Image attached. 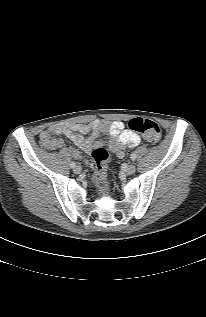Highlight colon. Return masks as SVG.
I'll return each mask as SVG.
<instances>
[{"label": "colon", "instance_id": "5ec220e1", "mask_svg": "<svg viewBox=\"0 0 206 317\" xmlns=\"http://www.w3.org/2000/svg\"><path fill=\"white\" fill-rule=\"evenodd\" d=\"M128 126L132 131L140 133L150 143H156L161 138L159 125L150 119L136 117L129 121ZM92 157L94 160V179L100 188H104L109 154L104 148L99 147L93 151Z\"/></svg>", "mask_w": 206, "mask_h": 317}]
</instances>
